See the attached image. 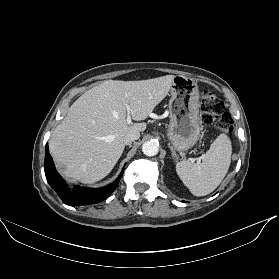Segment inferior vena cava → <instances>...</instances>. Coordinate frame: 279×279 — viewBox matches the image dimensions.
<instances>
[{
	"mask_svg": "<svg viewBox=\"0 0 279 279\" xmlns=\"http://www.w3.org/2000/svg\"><path fill=\"white\" fill-rule=\"evenodd\" d=\"M139 137H140L139 132L131 131L125 136L124 142L126 145H130L133 141L139 139Z\"/></svg>",
	"mask_w": 279,
	"mask_h": 279,
	"instance_id": "obj_1",
	"label": "inferior vena cava"
}]
</instances>
